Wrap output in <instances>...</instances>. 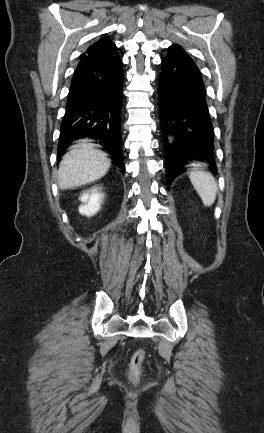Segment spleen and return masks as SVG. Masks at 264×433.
<instances>
[{
    "mask_svg": "<svg viewBox=\"0 0 264 433\" xmlns=\"http://www.w3.org/2000/svg\"><path fill=\"white\" fill-rule=\"evenodd\" d=\"M192 185L205 206H211L217 195V183L214 177L204 170L193 169L189 173Z\"/></svg>",
    "mask_w": 264,
    "mask_h": 433,
    "instance_id": "obj_1",
    "label": "spleen"
}]
</instances>
